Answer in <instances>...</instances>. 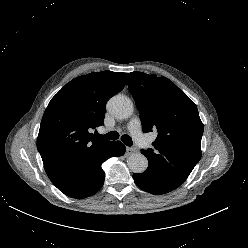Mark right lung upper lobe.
Instances as JSON below:
<instances>
[{
	"mask_svg": "<svg viewBox=\"0 0 248 248\" xmlns=\"http://www.w3.org/2000/svg\"><path fill=\"white\" fill-rule=\"evenodd\" d=\"M127 73L102 71L77 77L49 102L37 138L44 169L55 186L97 159L112 141L95 138L104 124L105 105L120 92Z\"/></svg>",
	"mask_w": 248,
	"mask_h": 248,
	"instance_id": "cb5924a9",
	"label": "right lung upper lobe"
}]
</instances>
